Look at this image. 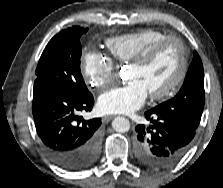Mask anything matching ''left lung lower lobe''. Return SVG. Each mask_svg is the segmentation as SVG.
<instances>
[{"mask_svg":"<svg viewBox=\"0 0 223 188\" xmlns=\"http://www.w3.org/2000/svg\"><path fill=\"white\" fill-rule=\"evenodd\" d=\"M150 127L136 126L135 154L143 164L164 168L178 162L188 151L196 129L171 121L153 110L145 112Z\"/></svg>","mask_w":223,"mask_h":188,"instance_id":"1","label":"left lung lower lobe"}]
</instances>
